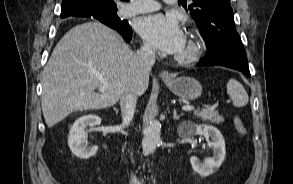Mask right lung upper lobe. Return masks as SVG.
Segmentation results:
<instances>
[{
  "mask_svg": "<svg viewBox=\"0 0 293 184\" xmlns=\"http://www.w3.org/2000/svg\"><path fill=\"white\" fill-rule=\"evenodd\" d=\"M80 1H83V0H63V2H62L63 5L61 7L62 18H66L69 16L80 17L83 15L95 13L92 11L83 10L79 5ZM92 1H98V2L103 3L106 7L105 12H109L113 9H117L116 5L114 4V2L112 0H92ZM101 13H103V12H101Z\"/></svg>",
  "mask_w": 293,
  "mask_h": 184,
  "instance_id": "cb5924a9",
  "label": "right lung upper lobe"
}]
</instances>
